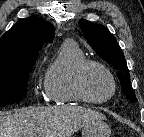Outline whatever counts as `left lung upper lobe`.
<instances>
[{
	"mask_svg": "<svg viewBox=\"0 0 144 137\" xmlns=\"http://www.w3.org/2000/svg\"><path fill=\"white\" fill-rule=\"evenodd\" d=\"M79 25L89 44L97 54L117 68V75L124 94L129 101L135 102L136 97L130 84V74L126 60L116 39L103 25L95 24L85 19H80Z\"/></svg>",
	"mask_w": 144,
	"mask_h": 137,
	"instance_id": "left-lung-upper-lobe-1",
	"label": "left lung upper lobe"
}]
</instances>
